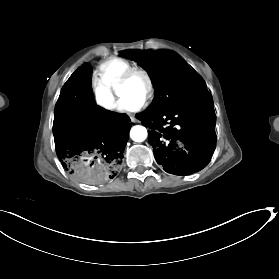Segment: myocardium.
Masks as SVG:
<instances>
[{"label":"myocardium","mask_w":279,"mask_h":279,"mask_svg":"<svg viewBox=\"0 0 279 279\" xmlns=\"http://www.w3.org/2000/svg\"><path fill=\"white\" fill-rule=\"evenodd\" d=\"M135 77H141L144 79L146 83V94L143 102H149L154 95V83L150 74L141 68H130L121 76L117 84V95L120 97L122 88L128 85Z\"/></svg>","instance_id":"f54148a6"}]
</instances>
